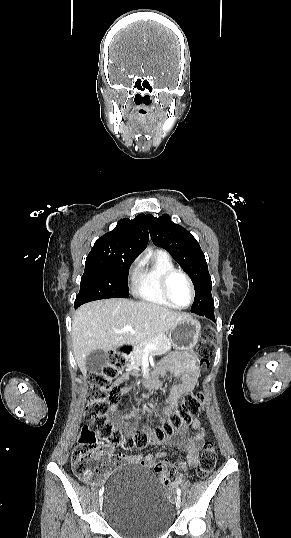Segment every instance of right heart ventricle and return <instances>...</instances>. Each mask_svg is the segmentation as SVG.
Returning a JSON list of instances; mask_svg holds the SVG:
<instances>
[{"label":"right heart ventricle","instance_id":"1","mask_svg":"<svg viewBox=\"0 0 291 538\" xmlns=\"http://www.w3.org/2000/svg\"><path fill=\"white\" fill-rule=\"evenodd\" d=\"M172 269H175V264L166 251L150 252L141 262L135 277L136 296L148 303L173 307L164 297L161 285L164 274Z\"/></svg>","mask_w":291,"mask_h":538}]
</instances>
